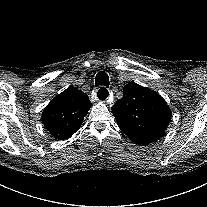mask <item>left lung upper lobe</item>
<instances>
[{
	"instance_id": "left-lung-upper-lobe-1",
	"label": "left lung upper lobe",
	"mask_w": 207,
	"mask_h": 207,
	"mask_svg": "<svg viewBox=\"0 0 207 207\" xmlns=\"http://www.w3.org/2000/svg\"><path fill=\"white\" fill-rule=\"evenodd\" d=\"M123 90V97L112 107L119 128L138 144H149L162 137L172 117L165 100L134 82Z\"/></svg>"
}]
</instances>
